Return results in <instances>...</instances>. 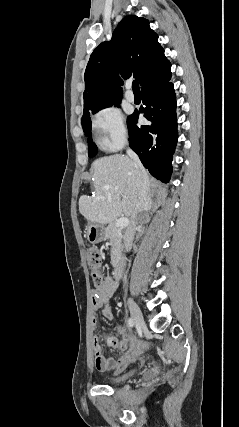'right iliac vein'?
I'll use <instances>...</instances> for the list:
<instances>
[{"mask_svg": "<svg viewBox=\"0 0 239 427\" xmlns=\"http://www.w3.org/2000/svg\"><path fill=\"white\" fill-rule=\"evenodd\" d=\"M128 307L134 322L142 326L144 324V319L139 306L132 299H128Z\"/></svg>", "mask_w": 239, "mask_h": 427, "instance_id": "63e3f726", "label": "right iliac vein"}]
</instances>
